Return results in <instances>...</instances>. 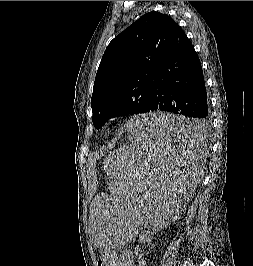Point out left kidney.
<instances>
[{
    "instance_id": "obj_1",
    "label": "left kidney",
    "mask_w": 253,
    "mask_h": 266,
    "mask_svg": "<svg viewBox=\"0 0 253 266\" xmlns=\"http://www.w3.org/2000/svg\"><path fill=\"white\" fill-rule=\"evenodd\" d=\"M161 225H166V222H163ZM155 227L153 228V231H156V227H158V224L157 225H154ZM141 239L144 238V235L143 236H140Z\"/></svg>"
}]
</instances>
